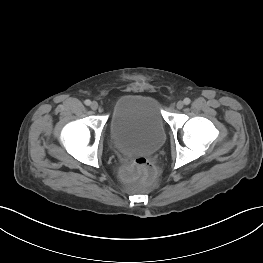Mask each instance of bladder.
Wrapping results in <instances>:
<instances>
[{"label":"bladder","mask_w":263,"mask_h":263,"mask_svg":"<svg viewBox=\"0 0 263 263\" xmlns=\"http://www.w3.org/2000/svg\"><path fill=\"white\" fill-rule=\"evenodd\" d=\"M108 135L113 146L128 156L159 151L166 140V132L158 101L139 94L118 98L108 122Z\"/></svg>","instance_id":"31cf9c89"}]
</instances>
